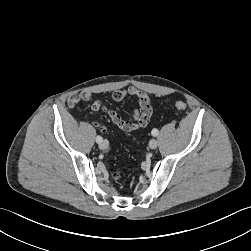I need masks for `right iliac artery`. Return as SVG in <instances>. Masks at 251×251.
<instances>
[{
  "label": "right iliac artery",
  "instance_id": "obj_1",
  "mask_svg": "<svg viewBox=\"0 0 251 251\" xmlns=\"http://www.w3.org/2000/svg\"><path fill=\"white\" fill-rule=\"evenodd\" d=\"M96 142H97V143L102 142V137H101V136H97V137H96Z\"/></svg>",
  "mask_w": 251,
  "mask_h": 251
}]
</instances>
